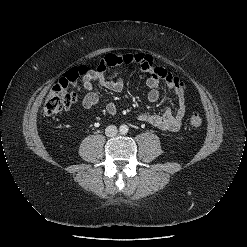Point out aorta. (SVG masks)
<instances>
[{
  "label": "aorta",
  "mask_w": 247,
  "mask_h": 247,
  "mask_svg": "<svg viewBox=\"0 0 247 247\" xmlns=\"http://www.w3.org/2000/svg\"><path fill=\"white\" fill-rule=\"evenodd\" d=\"M128 130H129V128H128L127 125H121L120 128H119V131H120L121 134L128 133Z\"/></svg>",
  "instance_id": "aorta-1"
}]
</instances>
